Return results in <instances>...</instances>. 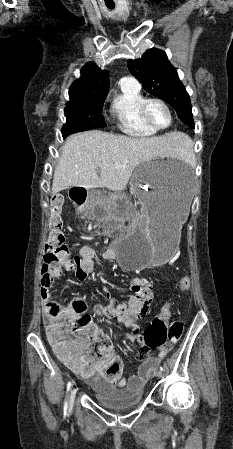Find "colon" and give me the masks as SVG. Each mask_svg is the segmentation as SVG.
I'll return each instance as SVG.
<instances>
[{
    "instance_id": "colon-1",
    "label": "colon",
    "mask_w": 233,
    "mask_h": 449,
    "mask_svg": "<svg viewBox=\"0 0 233 449\" xmlns=\"http://www.w3.org/2000/svg\"><path fill=\"white\" fill-rule=\"evenodd\" d=\"M51 215L49 219V232L44 246V264L63 262L70 263V248L65 242L63 234V219L61 216L62 200L54 197L51 200ZM178 293L183 295L190 289L189 277H179L176 283ZM75 314L64 320L59 306L53 302H47L44 307V315L48 321V338L59 357L71 368H78L82 361L74 356L67 344L68 335L76 333L74 343L80 352L94 350L98 345V359L102 364L108 362L103 360L107 349L112 346L108 337L97 333L88 315L82 314L85 303L81 300L74 302ZM183 325L180 321L173 319L170 314L169 305H164L161 312L154 316L150 324L139 337V343L143 352L147 353L156 348H169L171 343L180 340ZM133 336H138V331H133ZM141 357L143 354L140 355ZM108 371V369H107Z\"/></svg>"
}]
</instances>
